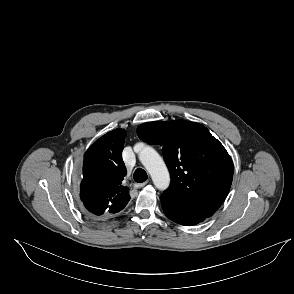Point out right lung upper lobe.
<instances>
[{
	"instance_id": "cb5924a9",
	"label": "right lung upper lobe",
	"mask_w": 294,
	"mask_h": 294,
	"mask_svg": "<svg viewBox=\"0 0 294 294\" xmlns=\"http://www.w3.org/2000/svg\"><path fill=\"white\" fill-rule=\"evenodd\" d=\"M126 132L115 129L99 138L84 155L80 197L94 216L109 217L121 211L130 200L122 185L127 173L122 160Z\"/></svg>"
}]
</instances>
